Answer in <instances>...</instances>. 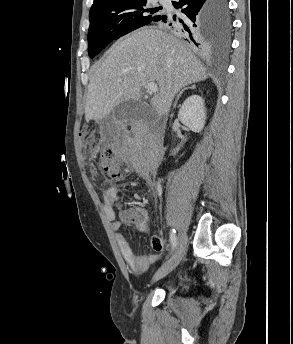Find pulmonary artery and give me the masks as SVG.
<instances>
[{"label": "pulmonary artery", "instance_id": "1", "mask_svg": "<svg viewBox=\"0 0 293 344\" xmlns=\"http://www.w3.org/2000/svg\"><path fill=\"white\" fill-rule=\"evenodd\" d=\"M160 2H166L167 0H159Z\"/></svg>", "mask_w": 293, "mask_h": 344}]
</instances>
